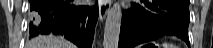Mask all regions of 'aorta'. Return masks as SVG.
<instances>
[{
    "instance_id": "aorta-1",
    "label": "aorta",
    "mask_w": 213,
    "mask_h": 48,
    "mask_svg": "<svg viewBox=\"0 0 213 48\" xmlns=\"http://www.w3.org/2000/svg\"><path fill=\"white\" fill-rule=\"evenodd\" d=\"M121 19L122 9L117 2L110 7L107 14L103 39L104 48H118Z\"/></svg>"
}]
</instances>
